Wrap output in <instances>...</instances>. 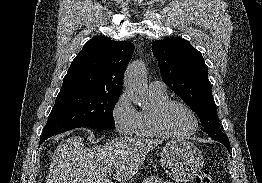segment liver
I'll list each match as a JSON object with an SVG mask.
<instances>
[{
	"label": "liver",
	"mask_w": 262,
	"mask_h": 183,
	"mask_svg": "<svg viewBox=\"0 0 262 183\" xmlns=\"http://www.w3.org/2000/svg\"><path fill=\"white\" fill-rule=\"evenodd\" d=\"M159 143L160 140L120 137L86 148L82 137H70L55 149L47 183H112L107 178L110 170L116 181L126 182Z\"/></svg>",
	"instance_id": "6515ba94"
}]
</instances>
